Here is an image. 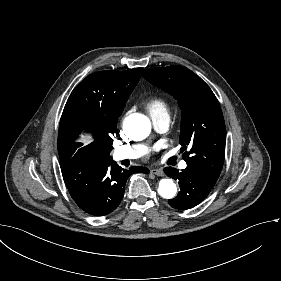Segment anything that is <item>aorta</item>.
I'll use <instances>...</instances> for the list:
<instances>
[{
    "label": "aorta",
    "instance_id": "obj_1",
    "mask_svg": "<svg viewBox=\"0 0 281 281\" xmlns=\"http://www.w3.org/2000/svg\"><path fill=\"white\" fill-rule=\"evenodd\" d=\"M124 130L134 140H143L150 134L151 123L145 115L134 113L125 119ZM158 193L165 199H172L177 193V187L171 179H162Z\"/></svg>",
    "mask_w": 281,
    "mask_h": 281
}]
</instances>
